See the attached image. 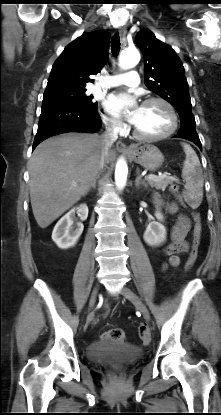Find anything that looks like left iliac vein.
Segmentation results:
<instances>
[{"instance_id": "1", "label": "left iliac vein", "mask_w": 221, "mask_h": 415, "mask_svg": "<svg viewBox=\"0 0 221 415\" xmlns=\"http://www.w3.org/2000/svg\"><path fill=\"white\" fill-rule=\"evenodd\" d=\"M121 294L130 300L142 313L146 321H150V313L142 300L128 287L124 286L121 289Z\"/></svg>"}]
</instances>
